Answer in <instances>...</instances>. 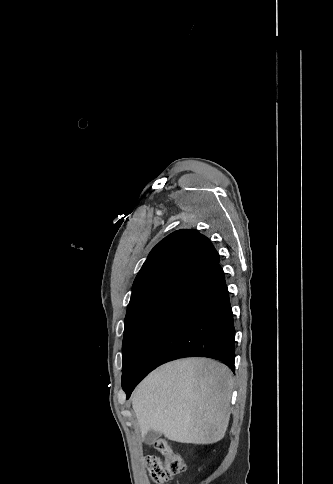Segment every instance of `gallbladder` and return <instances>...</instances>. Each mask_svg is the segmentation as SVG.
Wrapping results in <instances>:
<instances>
[{"label":"gallbladder","mask_w":333,"mask_h":484,"mask_svg":"<svg viewBox=\"0 0 333 484\" xmlns=\"http://www.w3.org/2000/svg\"><path fill=\"white\" fill-rule=\"evenodd\" d=\"M160 433L154 431V430H149L147 434L145 435V442L148 444L154 443L157 438L159 437Z\"/></svg>","instance_id":"obj_1"}]
</instances>
